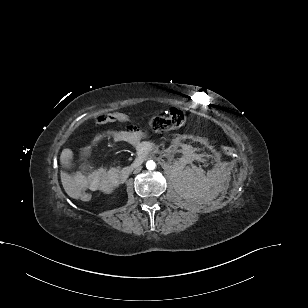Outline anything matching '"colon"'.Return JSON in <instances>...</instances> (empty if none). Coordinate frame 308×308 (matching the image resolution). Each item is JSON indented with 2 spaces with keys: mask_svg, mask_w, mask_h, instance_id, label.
Segmentation results:
<instances>
[{
  "mask_svg": "<svg viewBox=\"0 0 308 308\" xmlns=\"http://www.w3.org/2000/svg\"><path fill=\"white\" fill-rule=\"evenodd\" d=\"M185 119V114L182 110L172 107L164 114L151 117L148 124L153 131L163 132L182 126L185 123ZM96 121L100 124L114 121L126 122L129 121V116L122 112H113L98 116ZM222 150L228 156L235 155V149L231 146H223ZM77 198L83 202H89L92 199V195L86 190L80 192Z\"/></svg>",
  "mask_w": 308,
  "mask_h": 308,
  "instance_id": "obj_1",
  "label": "colon"
}]
</instances>
